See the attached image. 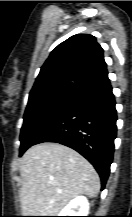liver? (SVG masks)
Instances as JSON below:
<instances>
[{
	"label": "liver",
	"instance_id": "obj_1",
	"mask_svg": "<svg viewBox=\"0 0 132 217\" xmlns=\"http://www.w3.org/2000/svg\"><path fill=\"white\" fill-rule=\"evenodd\" d=\"M23 216H56L73 198L97 196L100 178L78 152L59 143L32 146L20 160Z\"/></svg>",
	"mask_w": 132,
	"mask_h": 217
}]
</instances>
